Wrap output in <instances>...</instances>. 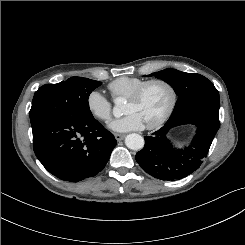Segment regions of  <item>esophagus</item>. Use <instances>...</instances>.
<instances>
[{
    "mask_svg": "<svg viewBox=\"0 0 245 245\" xmlns=\"http://www.w3.org/2000/svg\"><path fill=\"white\" fill-rule=\"evenodd\" d=\"M114 136L117 141H121L125 137L124 134H120V133H115Z\"/></svg>",
    "mask_w": 245,
    "mask_h": 245,
    "instance_id": "obj_1",
    "label": "esophagus"
}]
</instances>
